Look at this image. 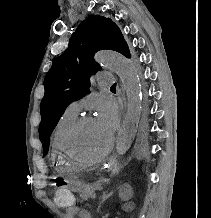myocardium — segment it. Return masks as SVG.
Wrapping results in <instances>:
<instances>
[{"instance_id": "obj_1", "label": "myocardium", "mask_w": 211, "mask_h": 218, "mask_svg": "<svg viewBox=\"0 0 211 218\" xmlns=\"http://www.w3.org/2000/svg\"><path fill=\"white\" fill-rule=\"evenodd\" d=\"M94 119L93 116L91 115H85L82 117L77 118L74 123L70 126V128L68 129L66 136H65V146H66V155L70 157V159L76 163V164H80V165H88V164H93L96 163L102 159H104L105 157H107L114 145H115V137L112 136L111 142L109 144V146L103 150L102 152L93 155V156H88V157H79V156H75L74 155V137L77 133V131L88 121Z\"/></svg>"}]
</instances>
